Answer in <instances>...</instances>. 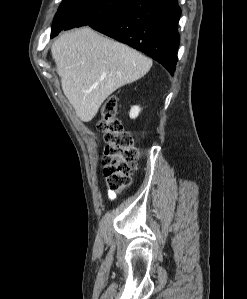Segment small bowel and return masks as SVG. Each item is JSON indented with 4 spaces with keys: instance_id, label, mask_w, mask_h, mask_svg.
I'll list each match as a JSON object with an SVG mask.
<instances>
[{
    "instance_id": "c3829d8e",
    "label": "small bowel",
    "mask_w": 247,
    "mask_h": 299,
    "mask_svg": "<svg viewBox=\"0 0 247 299\" xmlns=\"http://www.w3.org/2000/svg\"><path fill=\"white\" fill-rule=\"evenodd\" d=\"M109 198H110V199H113V195H112V194H109Z\"/></svg>"
}]
</instances>
